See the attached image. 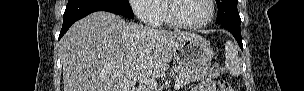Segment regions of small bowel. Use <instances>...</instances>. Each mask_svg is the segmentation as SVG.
<instances>
[{
  "label": "small bowel",
  "instance_id": "1",
  "mask_svg": "<svg viewBox=\"0 0 304 91\" xmlns=\"http://www.w3.org/2000/svg\"><path fill=\"white\" fill-rule=\"evenodd\" d=\"M191 91H213L214 85L210 80L202 81L190 89Z\"/></svg>",
  "mask_w": 304,
  "mask_h": 91
}]
</instances>
